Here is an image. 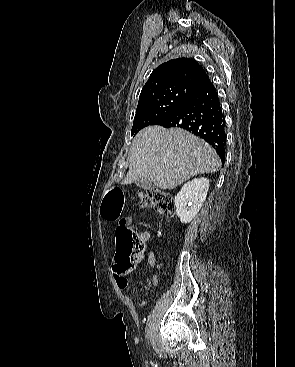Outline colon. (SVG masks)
Here are the masks:
<instances>
[{
  "mask_svg": "<svg viewBox=\"0 0 295 367\" xmlns=\"http://www.w3.org/2000/svg\"><path fill=\"white\" fill-rule=\"evenodd\" d=\"M125 205L123 190L118 186L111 187L104 199L103 217L111 221H119ZM140 205L151 207L159 213L172 216L175 203L172 196L158 188H151L140 194ZM115 269L122 274L130 271L145 249L143 240L124 225L116 228Z\"/></svg>",
  "mask_w": 295,
  "mask_h": 367,
  "instance_id": "obj_1",
  "label": "colon"
}]
</instances>
